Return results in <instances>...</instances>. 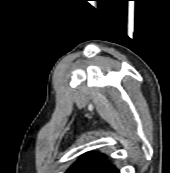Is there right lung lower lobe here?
Here are the masks:
<instances>
[{"mask_svg": "<svg viewBox=\"0 0 170 173\" xmlns=\"http://www.w3.org/2000/svg\"><path fill=\"white\" fill-rule=\"evenodd\" d=\"M108 173H119V170L117 168L112 169Z\"/></svg>", "mask_w": 170, "mask_h": 173, "instance_id": "obj_1", "label": "right lung lower lobe"}]
</instances>
